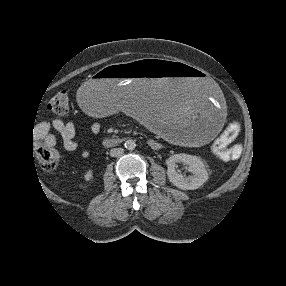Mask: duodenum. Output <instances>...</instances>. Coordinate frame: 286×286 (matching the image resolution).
I'll return each mask as SVG.
<instances>
[{
	"label": "duodenum",
	"mask_w": 286,
	"mask_h": 286,
	"mask_svg": "<svg viewBox=\"0 0 286 286\" xmlns=\"http://www.w3.org/2000/svg\"><path fill=\"white\" fill-rule=\"evenodd\" d=\"M121 139L120 138H107L105 141H104V145L106 147H112V146H117L121 143Z\"/></svg>",
	"instance_id": "410a0bca"
}]
</instances>
